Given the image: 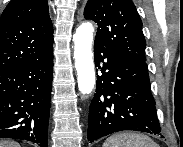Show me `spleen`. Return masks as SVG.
<instances>
[{
    "label": "spleen",
    "mask_w": 183,
    "mask_h": 147,
    "mask_svg": "<svg viewBox=\"0 0 183 147\" xmlns=\"http://www.w3.org/2000/svg\"><path fill=\"white\" fill-rule=\"evenodd\" d=\"M103 147H159V145L144 134L126 132L110 136Z\"/></svg>",
    "instance_id": "1"
}]
</instances>
